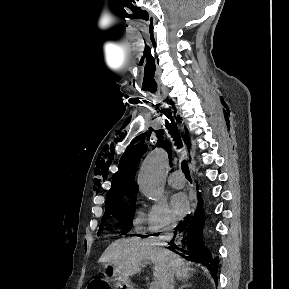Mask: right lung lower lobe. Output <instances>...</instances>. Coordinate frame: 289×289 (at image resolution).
Instances as JSON below:
<instances>
[{"label":"right lung lower lobe","instance_id":"1","mask_svg":"<svg viewBox=\"0 0 289 289\" xmlns=\"http://www.w3.org/2000/svg\"><path fill=\"white\" fill-rule=\"evenodd\" d=\"M198 196L197 208L178 224L175 229L176 234L169 245L173 247L172 251L179 253L185 259L204 264L216 281L218 261L217 258L212 259L202 240L204 213L201 197L199 194Z\"/></svg>","mask_w":289,"mask_h":289}]
</instances>
